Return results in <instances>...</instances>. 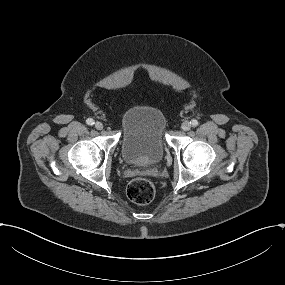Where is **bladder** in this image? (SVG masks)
Masks as SVG:
<instances>
[{
	"label": "bladder",
	"instance_id": "obj_1",
	"mask_svg": "<svg viewBox=\"0 0 285 285\" xmlns=\"http://www.w3.org/2000/svg\"><path fill=\"white\" fill-rule=\"evenodd\" d=\"M166 119L158 108L139 106L127 109L121 127V156L126 163H159L166 153Z\"/></svg>",
	"mask_w": 285,
	"mask_h": 285
}]
</instances>
